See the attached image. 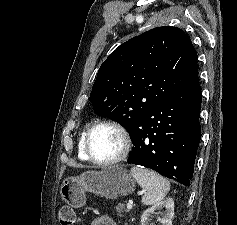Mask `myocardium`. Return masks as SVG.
Instances as JSON below:
<instances>
[{
	"label": "myocardium",
	"instance_id": "1",
	"mask_svg": "<svg viewBox=\"0 0 237 225\" xmlns=\"http://www.w3.org/2000/svg\"><path fill=\"white\" fill-rule=\"evenodd\" d=\"M100 127H108V128L115 130L119 134V136L121 138V142H122L121 149H120L119 153L116 156H114L113 158H110L107 160H100V159L95 158L90 151L91 135L97 128H100ZM131 146H132V141H131V137H130L128 131L119 123H117L115 121H111V120H101V121L94 123L86 131L85 137H84L85 155L87 156L88 160H90L94 164L101 165V166H110V165H114V164H117V163L123 161L129 155V153L131 151Z\"/></svg>",
	"mask_w": 237,
	"mask_h": 225
}]
</instances>
